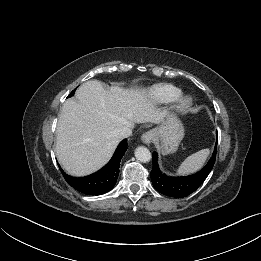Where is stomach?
<instances>
[{
  "mask_svg": "<svg viewBox=\"0 0 261 261\" xmlns=\"http://www.w3.org/2000/svg\"><path fill=\"white\" fill-rule=\"evenodd\" d=\"M155 144L163 155L177 151L184 137V128L180 120L173 115H167L161 125L153 130Z\"/></svg>",
  "mask_w": 261,
  "mask_h": 261,
  "instance_id": "obj_1",
  "label": "stomach"
}]
</instances>
